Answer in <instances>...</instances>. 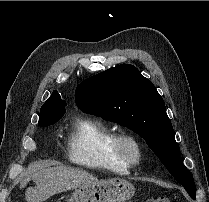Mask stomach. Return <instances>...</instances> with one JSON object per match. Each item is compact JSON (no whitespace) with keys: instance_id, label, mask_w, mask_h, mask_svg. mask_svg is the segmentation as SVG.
Returning <instances> with one entry per match:
<instances>
[{"instance_id":"stomach-1","label":"stomach","mask_w":209,"mask_h":202,"mask_svg":"<svg viewBox=\"0 0 209 202\" xmlns=\"http://www.w3.org/2000/svg\"><path fill=\"white\" fill-rule=\"evenodd\" d=\"M135 194L134 186L123 179H109L77 188L66 202H126Z\"/></svg>"}]
</instances>
